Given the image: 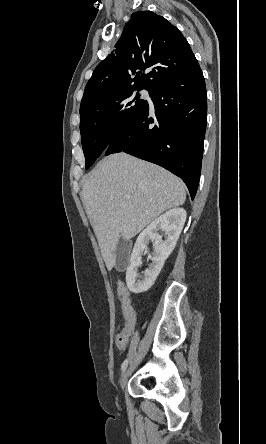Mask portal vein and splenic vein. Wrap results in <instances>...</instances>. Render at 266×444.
I'll use <instances>...</instances> for the list:
<instances>
[{"label": "portal vein and splenic vein", "mask_w": 266, "mask_h": 444, "mask_svg": "<svg viewBox=\"0 0 266 444\" xmlns=\"http://www.w3.org/2000/svg\"><path fill=\"white\" fill-rule=\"evenodd\" d=\"M126 198H128V199H129V198H130V196H126Z\"/></svg>", "instance_id": "18ae733b"}]
</instances>
